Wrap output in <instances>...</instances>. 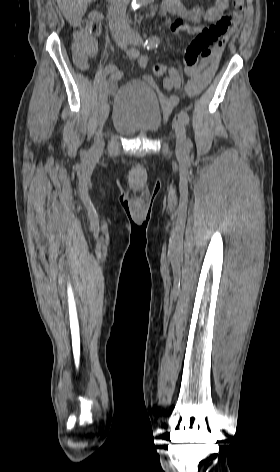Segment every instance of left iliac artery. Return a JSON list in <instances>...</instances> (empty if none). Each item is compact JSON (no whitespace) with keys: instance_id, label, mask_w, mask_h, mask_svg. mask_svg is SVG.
I'll return each mask as SVG.
<instances>
[{"instance_id":"44dca946","label":"left iliac artery","mask_w":280,"mask_h":472,"mask_svg":"<svg viewBox=\"0 0 280 472\" xmlns=\"http://www.w3.org/2000/svg\"><path fill=\"white\" fill-rule=\"evenodd\" d=\"M159 43H160V40L157 36H151L146 39L144 43V48H146L147 50L156 48L159 45ZM169 75H170V81H171L172 87L174 89H180L182 86V80H181L178 70L174 67H171L169 69ZM178 118L185 125L189 124V115L186 111L184 110L180 111V113L178 114Z\"/></svg>"}]
</instances>
